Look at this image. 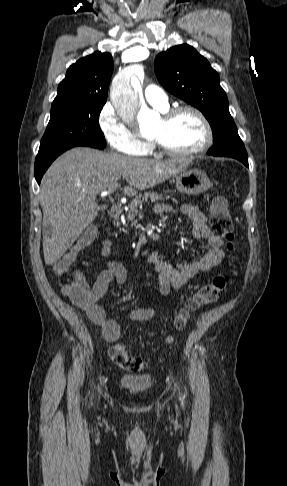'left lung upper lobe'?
<instances>
[{
    "label": "left lung upper lobe",
    "instance_id": "left-lung-upper-lobe-1",
    "mask_svg": "<svg viewBox=\"0 0 287 486\" xmlns=\"http://www.w3.org/2000/svg\"><path fill=\"white\" fill-rule=\"evenodd\" d=\"M155 73L167 91L198 108L207 118L214 138L208 154L248 157L219 75L205 57L190 45H177L157 55Z\"/></svg>",
    "mask_w": 287,
    "mask_h": 486
}]
</instances>
